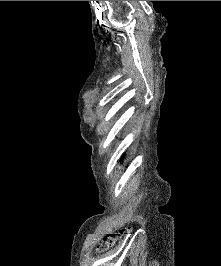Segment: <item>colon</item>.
Here are the masks:
<instances>
[{"mask_svg": "<svg viewBox=\"0 0 221 266\" xmlns=\"http://www.w3.org/2000/svg\"><path fill=\"white\" fill-rule=\"evenodd\" d=\"M128 229H123L119 232L109 233L103 238L101 248L107 249L111 247L123 234H125Z\"/></svg>", "mask_w": 221, "mask_h": 266, "instance_id": "colon-1", "label": "colon"}]
</instances>
